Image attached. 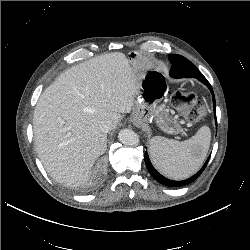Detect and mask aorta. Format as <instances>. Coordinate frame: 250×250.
Here are the masks:
<instances>
[{
    "label": "aorta",
    "instance_id": "762f6f07",
    "mask_svg": "<svg viewBox=\"0 0 250 250\" xmlns=\"http://www.w3.org/2000/svg\"><path fill=\"white\" fill-rule=\"evenodd\" d=\"M119 141L128 146H136L139 144V136L131 129H122L118 134Z\"/></svg>",
    "mask_w": 250,
    "mask_h": 250
}]
</instances>
